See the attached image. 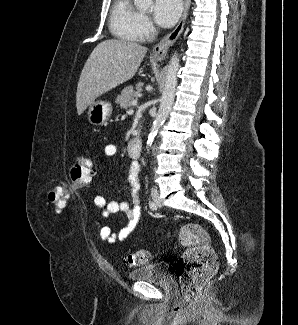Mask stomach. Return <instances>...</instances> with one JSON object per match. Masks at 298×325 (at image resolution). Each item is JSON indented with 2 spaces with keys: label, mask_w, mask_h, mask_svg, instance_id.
Returning a JSON list of instances; mask_svg holds the SVG:
<instances>
[{
  "label": "stomach",
  "mask_w": 298,
  "mask_h": 325,
  "mask_svg": "<svg viewBox=\"0 0 298 325\" xmlns=\"http://www.w3.org/2000/svg\"><path fill=\"white\" fill-rule=\"evenodd\" d=\"M154 60L155 62H162L163 58L154 56ZM112 112V102H109V100H96L88 108V120L91 124H104L106 120H109Z\"/></svg>",
  "instance_id": "obj_1"
}]
</instances>
